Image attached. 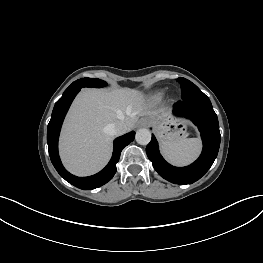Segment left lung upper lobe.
<instances>
[{
  "label": "left lung upper lobe",
  "mask_w": 263,
  "mask_h": 263,
  "mask_svg": "<svg viewBox=\"0 0 263 263\" xmlns=\"http://www.w3.org/2000/svg\"><path fill=\"white\" fill-rule=\"evenodd\" d=\"M182 89V98L186 99L192 96L203 94V92L191 81L185 78H178Z\"/></svg>",
  "instance_id": "left-lung-upper-lobe-1"
}]
</instances>
